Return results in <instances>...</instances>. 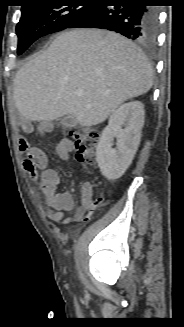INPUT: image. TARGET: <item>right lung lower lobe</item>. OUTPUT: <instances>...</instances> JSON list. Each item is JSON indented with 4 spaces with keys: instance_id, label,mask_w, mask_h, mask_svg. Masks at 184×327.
I'll use <instances>...</instances> for the list:
<instances>
[{
    "instance_id": "1",
    "label": "right lung lower lobe",
    "mask_w": 184,
    "mask_h": 327,
    "mask_svg": "<svg viewBox=\"0 0 184 327\" xmlns=\"http://www.w3.org/2000/svg\"><path fill=\"white\" fill-rule=\"evenodd\" d=\"M123 6L95 5L74 28H102L118 32L142 44L154 43L158 32V13L144 6L146 0H125Z\"/></svg>"
}]
</instances>
